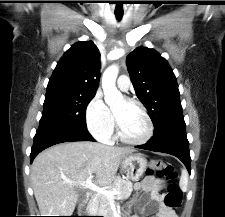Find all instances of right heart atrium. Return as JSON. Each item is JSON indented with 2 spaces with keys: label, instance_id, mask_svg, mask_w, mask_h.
<instances>
[{
  "label": "right heart atrium",
  "instance_id": "obj_1",
  "mask_svg": "<svg viewBox=\"0 0 225 217\" xmlns=\"http://www.w3.org/2000/svg\"><path fill=\"white\" fill-rule=\"evenodd\" d=\"M85 121L94 137L102 141L111 139L115 128L114 118L99 93L89 101L85 110Z\"/></svg>",
  "mask_w": 225,
  "mask_h": 217
}]
</instances>
